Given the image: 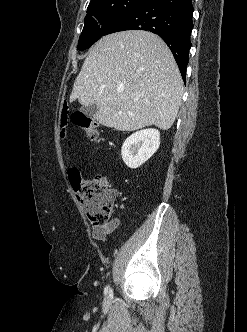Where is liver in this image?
Here are the masks:
<instances>
[{
    "label": "liver",
    "mask_w": 247,
    "mask_h": 332,
    "mask_svg": "<svg viewBox=\"0 0 247 332\" xmlns=\"http://www.w3.org/2000/svg\"><path fill=\"white\" fill-rule=\"evenodd\" d=\"M182 95L183 81L165 42L153 33L130 30L106 35L93 45L70 101L95 104L94 118L119 131L151 125L168 130Z\"/></svg>",
    "instance_id": "1"
}]
</instances>
